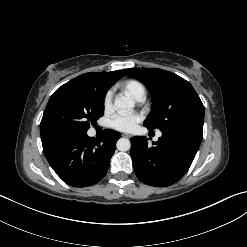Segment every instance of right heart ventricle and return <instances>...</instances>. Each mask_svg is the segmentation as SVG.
<instances>
[{
  "instance_id": "right-heart-ventricle-1",
  "label": "right heart ventricle",
  "mask_w": 247,
  "mask_h": 247,
  "mask_svg": "<svg viewBox=\"0 0 247 247\" xmlns=\"http://www.w3.org/2000/svg\"><path fill=\"white\" fill-rule=\"evenodd\" d=\"M123 90L131 97L138 99V97L145 95L144 86L137 80H127L122 85Z\"/></svg>"
}]
</instances>
